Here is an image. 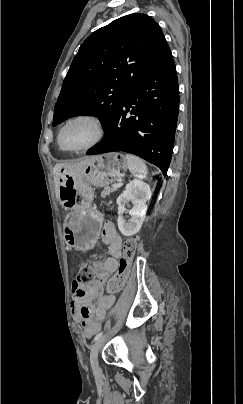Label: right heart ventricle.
<instances>
[{"mask_svg": "<svg viewBox=\"0 0 243 404\" xmlns=\"http://www.w3.org/2000/svg\"><path fill=\"white\" fill-rule=\"evenodd\" d=\"M59 146V145H58ZM59 149L62 151V152H64V150L62 149V148H60V146H59Z\"/></svg>", "mask_w": 243, "mask_h": 404, "instance_id": "e07e8e85", "label": "right heart ventricle"}]
</instances>
